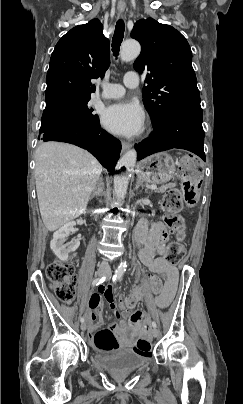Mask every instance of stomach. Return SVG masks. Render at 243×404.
<instances>
[{
    "instance_id": "1",
    "label": "stomach",
    "mask_w": 243,
    "mask_h": 404,
    "mask_svg": "<svg viewBox=\"0 0 243 404\" xmlns=\"http://www.w3.org/2000/svg\"><path fill=\"white\" fill-rule=\"evenodd\" d=\"M138 178L144 182L162 184L176 175L173 158L165 152L153 154L142 160L137 166Z\"/></svg>"
}]
</instances>
